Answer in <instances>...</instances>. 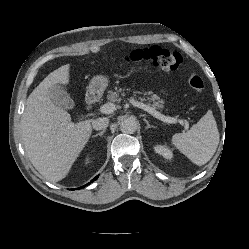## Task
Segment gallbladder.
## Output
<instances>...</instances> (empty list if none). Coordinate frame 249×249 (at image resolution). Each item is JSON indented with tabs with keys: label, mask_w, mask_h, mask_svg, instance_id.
Returning a JSON list of instances; mask_svg holds the SVG:
<instances>
[{
	"label": "gallbladder",
	"mask_w": 249,
	"mask_h": 249,
	"mask_svg": "<svg viewBox=\"0 0 249 249\" xmlns=\"http://www.w3.org/2000/svg\"><path fill=\"white\" fill-rule=\"evenodd\" d=\"M49 97L52 102L60 108L71 109L74 106V102L67 93V91L60 85H53L49 90Z\"/></svg>",
	"instance_id": "bac80fb5"
}]
</instances>
